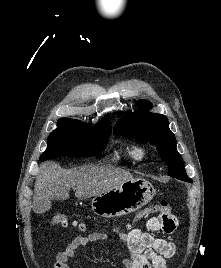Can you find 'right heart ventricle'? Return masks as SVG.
Instances as JSON below:
<instances>
[{
	"mask_svg": "<svg viewBox=\"0 0 221 268\" xmlns=\"http://www.w3.org/2000/svg\"><path fill=\"white\" fill-rule=\"evenodd\" d=\"M123 155L127 158H133V155H132V148H128L126 149L124 152H123Z\"/></svg>",
	"mask_w": 221,
	"mask_h": 268,
	"instance_id": "obj_1",
	"label": "right heart ventricle"
}]
</instances>
